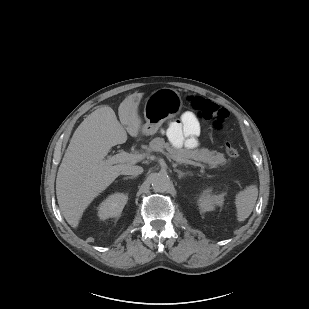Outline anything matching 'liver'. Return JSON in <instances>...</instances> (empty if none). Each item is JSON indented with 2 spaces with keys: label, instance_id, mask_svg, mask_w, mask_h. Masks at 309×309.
Masks as SVG:
<instances>
[{
  "label": "liver",
  "instance_id": "6515ba94",
  "mask_svg": "<svg viewBox=\"0 0 309 309\" xmlns=\"http://www.w3.org/2000/svg\"><path fill=\"white\" fill-rule=\"evenodd\" d=\"M143 95L133 94L120 104V122L111 107L103 106L88 115L74 132L56 178L60 210L73 228L90 203L121 171L136 163L108 165L104 159L113 146L126 142L127 133L138 136L142 124L138 105Z\"/></svg>",
  "mask_w": 309,
  "mask_h": 309
}]
</instances>
